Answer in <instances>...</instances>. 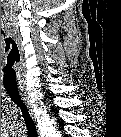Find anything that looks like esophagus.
<instances>
[{
  "instance_id": "obj_1",
  "label": "esophagus",
  "mask_w": 121,
  "mask_h": 137,
  "mask_svg": "<svg viewBox=\"0 0 121 137\" xmlns=\"http://www.w3.org/2000/svg\"><path fill=\"white\" fill-rule=\"evenodd\" d=\"M19 93H20L23 101H24L27 105H29V108H30V103H29V100H28L27 91H26L23 87H20Z\"/></svg>"
}]
</instances>
